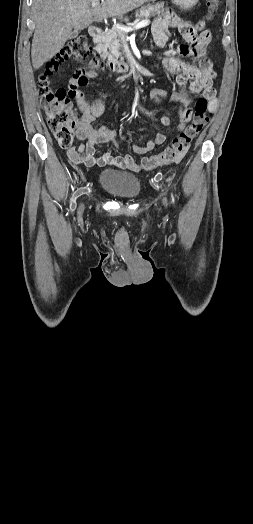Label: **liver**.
Masks as SVG:
<instances>
[{
    "instance_id": "obj_1",
    "label": "liver",
    "mask_w": 253,
    "mask_h": 524,
    "mask_svg": "<svg viewBox=\"0 0 253 524\" xmlns=\"http://www.w3.org/2000/svg\"><path fill=\"white\" fill-rule=\"evenodd\" d=\"M99 1L33 0L35 31L31 58L34 69H39L53 58L74 31L87 28L93 22H100L108 17H122L149 0H105L97 8H90L92 2Z\"/></svg>"
}]
</instances>
